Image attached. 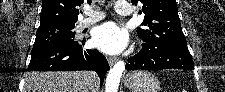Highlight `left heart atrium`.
Masks as SVG:
<instances>
[{"mask_svg": "<svg viewBox=\"0 0 225 92\" xmlns=\"http://www.w3.org/2000/svg\"><path fill=\"white\" fill-rule=\"evenodd\" d=\"M92 43L104 53L116 54L126 46L127 33L115 22H107L95 28Z\"/></svg>", "mask_w": 225, "mask_h": 92, "instance_id": "1", "label": "left heart atrium"}]
</instances>
